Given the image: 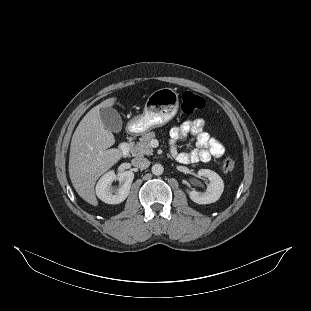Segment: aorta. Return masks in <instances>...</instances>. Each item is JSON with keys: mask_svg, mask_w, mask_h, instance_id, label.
<instances>
[{"mask_svg": "<svg viewBox=\"0 0 311 311\" xmlns=\"http://www.w3.org/2000/svg\"><path fill=\"white\" fill-rule=\"evenodd\" d=\"M154 175H161L164 172V167L161 164H154L151 168Z\"/></svg>", "mask_w": 311, "mask_h": 311, "instance_id": "762f6f07", "label": "aorta"}]
</instances>
